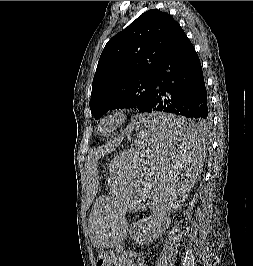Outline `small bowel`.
<instances>
[{
	"instance_id": "obj_1",
	"label": "small bowel",
	"mask_w": 253,
	"mask_h": 266,
	"mask_svg": "<svg viewBox=\"0 0 253 266\" xmlns=\"http://www.w3.org/2000/svg\"><path fill=\"white\" fill-rule=\"evenodd\" d=\"M120 258L118 266H134V261L136 260L139 266H148L143 258V256L130 249H121Z\"/></svg>"
}]
</instances>
